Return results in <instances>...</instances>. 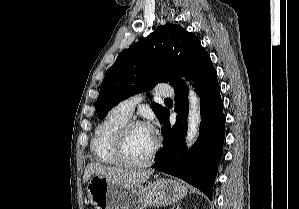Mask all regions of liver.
<instances>
[{
	"label": "liver",
	"mask_w": 299,
	"mask_h": 209,
	"mask_svg": "<svg viewBox=\"0 0 299 209\" xmlns=\"http://www.w3.org/2000/svg\"><path fill=\"white\" fill-rule=\"evenodd\" d=\"M153 170H127L122 168L104 166L99 163H90L86 166L83 182H87L92 175L105 177L107 180L122 185H139L146 182Z\"/></svg>",
	"instance_id": "liver-1"
}]
</instances>
